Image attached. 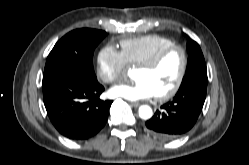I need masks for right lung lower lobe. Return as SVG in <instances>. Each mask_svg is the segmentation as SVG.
<instances>
[{"mask_svg":"<svg viewBox=\"0 0 249 165\" xmlns=\"http://www.w3.org/2000/svg\"><path fill=\"white\" fill-rule=\"evenodd\" d=\"M42 87L47 114L63 136L84 140L105 126L112 101L99 99L104 87L98 81L47 71L43 74Z\"/></svg>","mask_w":249,"mask_h":165,"instance_id":"right-lung-lower-lobe-1","label":"right lung lower lobe"}]
</instances>
